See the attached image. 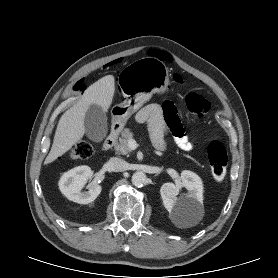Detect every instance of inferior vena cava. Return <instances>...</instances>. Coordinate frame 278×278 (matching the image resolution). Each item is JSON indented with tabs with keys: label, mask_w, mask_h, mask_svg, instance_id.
I'll list each match as a JSON object with an SVG mask.
<instances>
[{
	"label": "inferior vena cava",
	"mask_w": 278,
	"mask_h": 278,
	"mask_svg": "<svg viewBox=\"0 0 278 278\" xmlns=\"http://www.w3.org/2000/svg\"><path fill=\"white\" fill-rule=\"evenodd\" d=\"M108 163H109L111 170L116 171V172L124 171L127 168L126 161H124L123 159L117 158V157L110 158Z\"/></svg>",
	"instance_id": "obj_1"
}]
</instances>
